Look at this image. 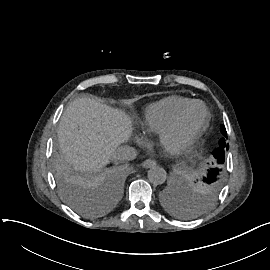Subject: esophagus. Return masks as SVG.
I'll return each mask as SVG.
<instances>
[{
	"mask_svg": "<svg viewBox=\"0 0 270 270\" xmlns=\"http://www.w3.org/2000/svg\"><path fill=\"white\" fill-rule=\"evenodd\" d=\"M141 165L144 168H151L156 165V161L152 158H149V159H146Z\"/></svg>",
	"mask_w": 270,
	"mask_h": 270,
	"instance_id": "esophagus-1",
	"label": "esophagus"
}]
</instances>
